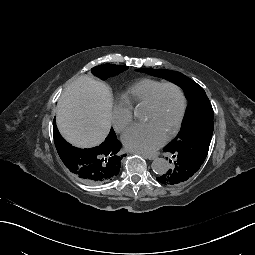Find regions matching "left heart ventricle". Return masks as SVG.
Returning <instances> with one entry per match:
<instances>
[{
  "instance_id": "b2bd125f",
  "label": "left heart ventricle",
  "mask_w": 255,
  "mask_h": 255,
  "mask_svg": "<svg viewBox=\"0 0 255 255\" xmlns=\"http://www.w3.org/2000/svg\"><path fill=\"white\" fill-rule=\"evenodd\" d=\"M180 108V98L172 87L163 88L153 108H145L143 120L156 131L167 137L175 127Z\"/></svg>"
}]
</instances>
